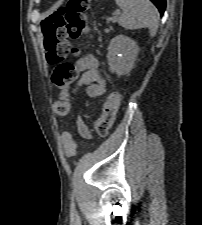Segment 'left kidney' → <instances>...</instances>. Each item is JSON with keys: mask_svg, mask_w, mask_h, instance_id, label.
<instances>
[{"mask_svg": "<svg viewBox=\"0 0 202 225\" xmlns=\"http://www.w3.org/2000/svg\"><path fill=\"white\" fill-rule=\"evenodd\" d=\"M139 53L136 42L124 35L114 37L108 47V65L112 73L118 76L129 73Z\"/></svg>", "mask_w": 202, "mask_h": 225, "instance_id": "left-kidney-1", "label": "left kidney"}]
</instances>
